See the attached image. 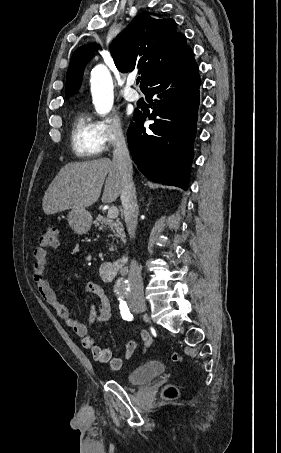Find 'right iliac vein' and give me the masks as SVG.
Masks as SVG:
<instances>
[{"instance_id": "1", "label": "right iliac vein", "mask_w": 281, "mask_h": 453, "mask_svg": "<svg viewBox=\"0 0 281 453\" xmlns=\"http://www.w3.org/2000/svg\"><path fill=\"white\" fill-rule=\"evenodd\" d=\"M134 307L137 309H140L141 311H144L146 309V306L144 305V301H133Z\"/></svg>"}]
</instances>
